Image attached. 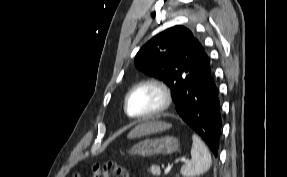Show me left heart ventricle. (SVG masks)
<instances>
[{"instance_id": "obj_1", "label": "left heart ventricle", "mask_w": 287, "mask_h": 177, "mask_svg": "<svg viewBox=\"0 0 287 177\" xmlns=\"http://www.w3.org/2000/svg\"><path fill=\"white\" fill-rule=\"evenodd\" d=\"M161 102L160 93L152 87L135 90L128 102V111L133 116L147 114L156 109Z\"/></svg>"}]
</instances>
